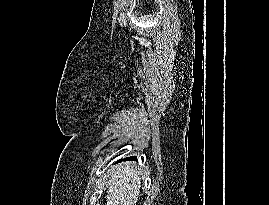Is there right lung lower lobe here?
<instances>
[{"mask_svg":"<svg viewBox=\"0 0 269 205\" xmlns=\"http://www.w3.org/2000/svg\"><path fill=\"white\" fill-rule=\"evenodd\" d=\"M128 159H136V157H130V158H128Z\"/></svg>","mask_w":269,"mask_h":205,"instance_id":"98d812e1","label":"right lung lower lobe"}]
</instances>
